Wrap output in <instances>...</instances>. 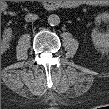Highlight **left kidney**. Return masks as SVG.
Returning <instances> with one entry per match:
<instances>
[{
	"instance_id": "left-kidney-1",
	"label": "left kidney",
	"mask_w": 109,
	"mask_h": 109,
	"mask_svg": "<svg viewBox=\"0 0 109 109\" xmlns=\"http://www.w3.org/2000/svg\"><path fill=\"white\" fill-rule=\"evenodd\" d=\"M108 23L109 22V14L108 13H102L99 14L96 17V22L101 23V22ZM92 41L94 45L98 48H107L109 45V32H103L99 33L96 30H94L91 34Z\"/></svg>"
}]
</instances>
